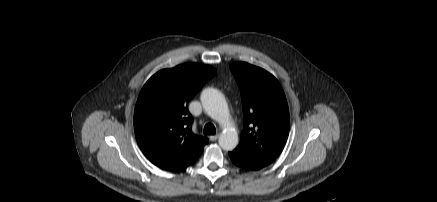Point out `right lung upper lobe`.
Segmentation results:
<instances>
[{"label":"right lung upper lobe","instance_id":"1","mask_svg":"<svg viewBox=\"0 0 437 202\" xmlns=\"http://www.w3.org/2000/svg\"><path fill=\"white\" fill-rule=\"evenodd\" d=\"M215 74L210 66L186 63L157 72L143 86L134 131L140 149L154 165L179 171L197 161L208 138L192 132L188 103Z\"/></svg>","mask_w":437,"mask_h":202}]
</instances>
